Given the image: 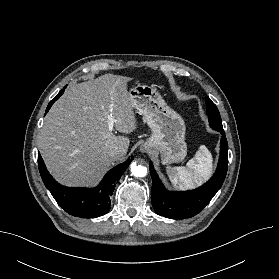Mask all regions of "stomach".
<instances>
[{
  "mask_svg": "<svg viewBox=\"0 0 279 279\" xmlns=\"http://www.w3.org/2000/svg\"><path fill=\"white\" fill-rule=\"evenodd\" d=\"M133 107L143 115L152 134L143 144L144 151L160 152L163 164L184 160L187 154L185 123L151 86L138 84L129 92Z\"/></svg>",
  "mask_w": 279,
  "mask_h": 279,
  "instance_id": "1",
  "label": "stomach"
}]
</instances>
